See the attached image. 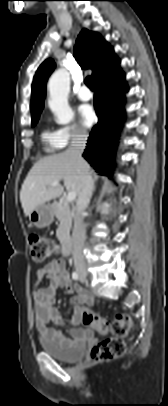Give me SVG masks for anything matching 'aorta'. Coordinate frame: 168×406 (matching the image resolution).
Instances as JSON below:
<instances>
[{"label":"aorta","instance_id":"obj_1","mask_svg":"<svg viewBox=\"0 0 168 406\" xmlns=\"http://www.w3.org/2000/svg\"><path fill=\"white\" fill-rule=\"evenodd\" d=\"M70 74L61 68L54 72L48 82V105L59 124H68L73 119V111L68 104Z\"/></svg>","mask_w":168,"mask_h":406}]
</instances>
